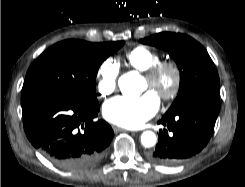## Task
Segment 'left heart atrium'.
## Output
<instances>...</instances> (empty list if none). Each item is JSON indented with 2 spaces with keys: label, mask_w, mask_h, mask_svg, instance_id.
<instances>
[{
  "label": "left heart atrium",
  "mask_w": 245,
  "mask_h": 187,
  "mask_svg": "<svg viewBox=\"0 0 245 187\" xmlns=\"http://www.w3.org/2000/svg\"><path fill=\"white\" fill-rule=\"evenodd\" d=\"M160 100L158 94L148 90L137 98L115 97L103 106L104 118L118 126L138 128L158 111Z\"/></svg>",
  "instance_id": "1"
}]
</instances>
